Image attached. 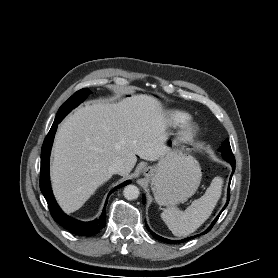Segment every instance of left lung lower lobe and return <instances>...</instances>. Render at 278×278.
Masks as SVG:
<instances>
[{
	"instance_id": "0a47b994",
	"label": "left lung lower lobe",
	"mask_w": 278,
	"mask_h": 278,
	"mask_svg": "<svg viewBox=\"0 0 278 278\" xmlns=\"http://www.w3.org/2000/svg\"><path fill=\"white\" fill-rule=\"evenodd\" d=\"M228 162L231 164V166H232V168H233V172H232L231 177H230V182H231L232 175H233V173H234V171H235V162H233V161H228ZM229 198H230V188H228V199H227L226 205H225L224 208L221 210V212L219 213V215L217 216V218H216V219L213 221V223L210 225V227H209L205 232H203L202 234H205V233H207V232L210 231V229L213 227V225L215 224V222L218 220V218H219L220 214L222 213V211H223V210L226 208V206L228 205ZM143 200L145 201V198H144V197H143ZM146 227H147V229H148L149 231H151V230L149 229V227L147 226V224H146ZM151 234H152L156 239H158V240H160V241H163V242H166V243L183 242V241H187V240H190V239H192V238H194V237L199 236V235H196V236H193V237H190V238L181 240V241H172V240H169V239H165V238H163V237H161V236H159V235H156V234H155L154 232H152V231H151Z\"/></svg>"
}]
</instances>
